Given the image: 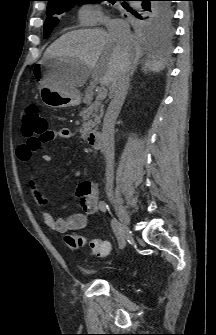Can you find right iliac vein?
Wrapping results in <instances>:
<instances>
[{"label": "right iliac vein", "mask_w": 216, "mask_h": 335, "mask_svg": "<svg viewBox=\"0 0 216 335\" xmlns=\"http://www.w3.org/2000/svg\"><path fill=\"white\" fill-rule=\"evenodd\" d=\"M109 199L111 203L113 204L116 213L118 215V218L122 224V230L125 235H128L130 233L129 224H130V216L126 210V208L123 206V204L112 194H109Z\"/></svg>", "instance_id": "1"}]
</instances>
